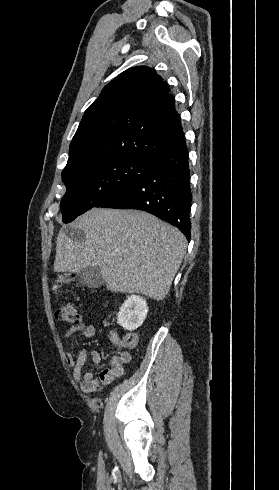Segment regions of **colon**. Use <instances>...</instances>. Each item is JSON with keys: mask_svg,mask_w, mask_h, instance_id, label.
Segmentation results:
<instances>
[{"mask_svg": "<svg viewBox=\"0 0 279 490\" xmlns=\"http://www.w3.org/2000/svg\"><path fill=\"white\" fill-rule=\"evenodd\" d=\"M73 281H74V277L71 274L61 273L59 274L58 278L53 282L52 289L54 291H57L61 286L65 284H69ZM55 317L58 320L67 323L71 326L75 325L79 318L76 308L71 304L59 306L56 309ZM107 336L108 338H112L113 341H117L118 343L117 349H120L121 347L134 348L137 342V336L134 333H129L121 338L117 337L118 336L117 329H108Z\"/></svg>", "mask_w": 279, "mask_h": 490, "instance_id": "1", "label": "colon"}]
</instances>
